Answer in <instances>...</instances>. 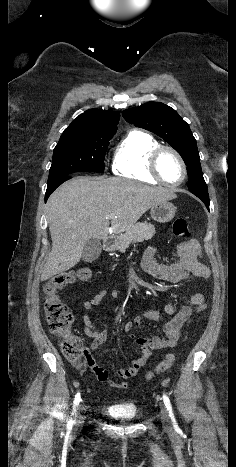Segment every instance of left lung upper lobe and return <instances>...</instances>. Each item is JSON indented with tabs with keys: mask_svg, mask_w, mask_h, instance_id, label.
Here are the masks:
<instances>
[{
	"mask_svg": "<svg viewBox=\"0 0 236 467\" xmlns=\"http://www.w3.org/2000/svg\"><path fill=\"white\" fill-rule=\"evenodd\" d=\"M122 115L127 122L162 137L181 155L187 165L190 191L207 190L196 140L189 125L174 109L160 102H148L124 110Z\"/></svg>",
	"mask_w": 236,
	"mask_h": 467,
	"instance_id": "obj_1",
	"label": "left lung upper lobe"
}]
</instances>
